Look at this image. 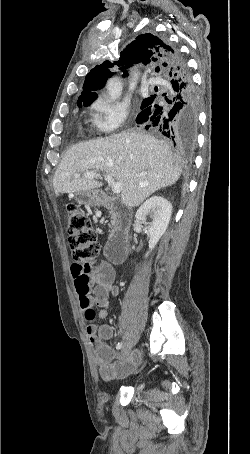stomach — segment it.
<instances>
[{"label": "stomach", "instance_id": "obj_1", "mask_svg": "<svg viewBox=\"0 0 250 454\" xmlns=\"http://www.w3.org/2000/svg\"><path fill=\"white\" fill-rule=\"evenodd\" d=\"M80 202L88 204V205H98L101 201L98 191L90 190V191H82L78 193Z\"/></svg>", "mask_w": 250, "mask_h": 454}]
</instances>
